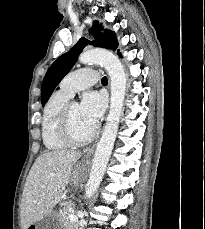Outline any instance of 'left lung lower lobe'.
I'll use <instances>...</instances> for the list:
<instances>
[{"mask_svg":"<svg viewBox=\"0 0 205 229\" xmlns=\"http://www.w3.org/2000/svg\"><path fill=\"white\" fill-rule=\"evenodd\" d=\"M118 55L121 57V54L120 53H118Z\"/></svg>","mask_w":205,"mask_h":229,"instance_id":"obj_1","label":"left lung lower lobe"}]
</instances>
